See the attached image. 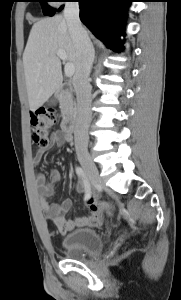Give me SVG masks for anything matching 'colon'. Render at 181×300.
I'll return each mask as SVG.
<instances>
[{
    "instance_id": "1",
    "label": "colon",
    "mask_w": 181,
    "mask_h": 300,
    "mask_svg": "<svg viewBox=\"0 0 181 300\" xmlns=\"http://www.w3.org/2000/svg\"><path fill=\"white\" fill-rule=\"evenodd\" d=\"M56 122V114L51 109L37 110L31 114L32 139L36 145H47L50 129ZM88 205L90 214L98 218L112 215L115 208L111 202L96 199L89 200Z\"/></svg>"
}]
</instances>
